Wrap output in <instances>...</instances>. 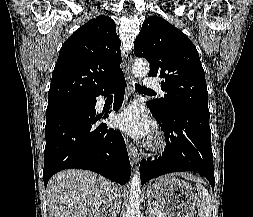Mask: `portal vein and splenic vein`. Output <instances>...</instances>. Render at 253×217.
<instances>
[{"label": "portal vein and splenic vein", "instance_id": "1", "mask_svg": "<svg viewBox=\"0 0 253 217\" xmlns=\"http://www.w3.org/2000/svg\"><path fill=\"white\" fill-rule=\"evenodd\" d=\"M151 212H152V215H159L160 216L162 214L158 207L153 208Z\"/></svg>", "mask_w": 253, "mask_h": 217}]
</instances>
